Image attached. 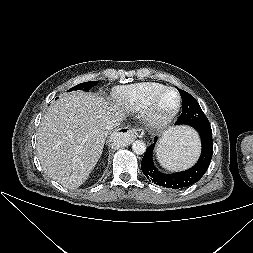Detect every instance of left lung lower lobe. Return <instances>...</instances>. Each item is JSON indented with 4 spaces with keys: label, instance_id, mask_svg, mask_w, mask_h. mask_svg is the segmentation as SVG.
<instances>
[{
    "label": "left lung lower lobe",
    "instance_id": "1",
    "mask_svg": "<svg viewBox=\"0 0 253 253\" xmlns=\"http://www.w3.org/2000/svg\"><path fill=\"white\" fill-rule=\"evenodd\" d=\"M176 124L178 123L176 122ZM192 127L199 132L202 143L201 156L195 166L174 174H164L158 171L152 158L153 149L157 142V137H155L154 143L146 149L141 162L142 172L149 181L166 188L179 189L193 185L202 178L209 167L213 155L212 130L209 123H199L192 125Z\"/></svg>",
    "mask_w": 253,
    "mask_h": 253
}]
</instances>
